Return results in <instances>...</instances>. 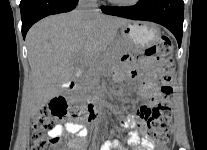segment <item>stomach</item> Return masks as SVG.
<instances>
[{
    "label": "stomach",
    "instance_id": "1",
    "mask_svg": "<svg viewBox=\"0 0 207 150\" xmlns=\"http://www.w3.org/2000/svg\"><path fill=\"white\" fill-rule=\"evenodd\" d=\"M159 35L160 31L155 26L129 22L123 25L118 32V54L124 53L126 43L138 48H144L154 44L158 40Z\"/></svg>",
    "mask_w": 207,
    "mask_h": 150
}]
</instances>
